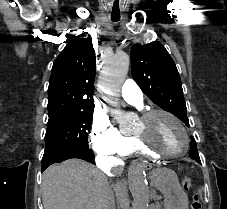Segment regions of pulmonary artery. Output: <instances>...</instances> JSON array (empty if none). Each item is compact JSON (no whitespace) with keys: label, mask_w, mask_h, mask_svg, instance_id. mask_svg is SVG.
Here are the masks:
<instances>
[{"label":"pulmonary artery","mask_w":227,"mask_h":209,"mask_svg":"<svg viewBox=\"0 0 227 209\" xmlns=\"http://www.w3.org/2000/svg\"><path fill=\"white\" fill-rule=\"evenodd\" d=\"M121 94L122 97L129 102L139 104L142 101L139 85L132 78H128L124 82L121 89Z\"/></svg>","instance_id":"e3ab8cb5"}]
</instances>
